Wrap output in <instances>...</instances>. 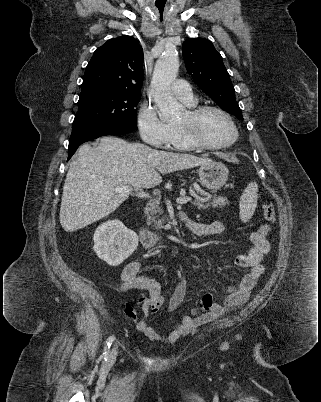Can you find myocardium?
<instances>
[{
    "mask_svg": "<svg viewBox=\"0 0 321 402\" xmlns=\"http://www.w3.org/2000/svg\"><path fill=\"white\" fill-rule=\"evenodd\" d=\"M208 111H215L224 116L233 129V137L231 140L222 144H211L200 137L197 130V122L199 118ZM188 120L185 123L178 124V128L186 138V140L196 148L205 150L225 149L236 143L239 137L238 127L232 116L223 108L215 105H203L190 108L188 111Z\"/></svg>",
    "mask_w": 321,
    "mask_h": 402,
    "instance_id": "f54148a6",
    "label": "myocardium"
}]
</instances>
